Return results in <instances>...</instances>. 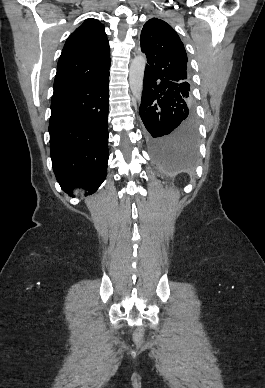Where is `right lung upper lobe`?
<instances>
[{"label": "right lung upper lobe", "mask_w": 265, "mask_h": 388, "mask_svg": "<svg viewBox=\"0 0 265 388\" xmlns=\"http://www.w3.org/2000/svg\"><path fill=\"white\" fill-rule=\"evenodd\" d=\"M110 50L104 26L86 19L67 39L57 65L54 92L109 74Z\"/></svg>", "instance_id": "1"}]
</instances>
